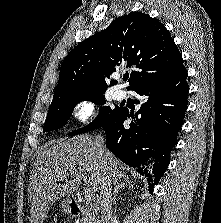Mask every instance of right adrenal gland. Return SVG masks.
I'll list each match as a JSON object with an SVG mask.
<instances>
[{"label": "right adrenal gland", "mask_w": 221, "mask_h": 223, "mask_svg": "<svg viewBox=\"0 0 221 223\" xmlns=\"http://www.w3.org/2000/svg\"><path fill=\"white\" fill-rule=\"evenodd\" d=\"M114 185H115V188H114L113 197H112L113 204H116V195L118 194L120 189H124L126 187L133 188V184H131L128 178H122L118 182L114 183Z\"/></svg>", "instance_id": "2a0ac1e0"}]
</instances>
